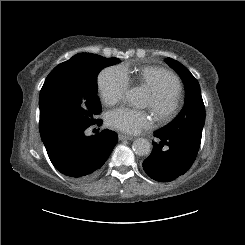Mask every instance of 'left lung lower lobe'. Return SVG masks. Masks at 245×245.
<instances>
[{
    "label": "left lung lower lobe",
    "instance_id": "obj_1",
    "mask_svg": "<svg viewBox=\"0 0 245 245\" xmlns=\"http://www.w3.org/2000/svg\"><path fill=\"white\" fill-rule=\"evenodd\" d=\"M159 140L153 142V150L143 161L146 174L160 182H169L185 174L192 166L199 146L195 143L164 135L159 131L154 133Z\"/></svg>",
    "mask_w": 245,
    "mask_h": 245
}]
</instances>
